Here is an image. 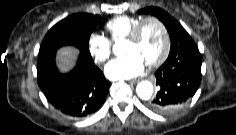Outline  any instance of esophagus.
I'll return each instance as SVG.
<instances>
[{"label":"esophagus","mask_w":236,"mask_h":135,"mask_svg":"<svg viewBox=\"0 0 236 135\" xmlns=\"http://www.w3.org/2000/svg\"><path fill=\"white\" fill-rule=\"evenodd\" d=\"M139 82V79H132V80H129V83L130 84H136Z\"/></svg>","instance_id":"34e87169"}]
</instances>
